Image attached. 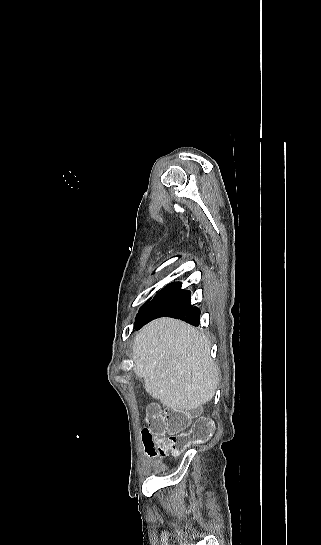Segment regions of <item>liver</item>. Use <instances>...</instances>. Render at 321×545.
I'll list each match as a JSON object with an SVG mask.
<instances>
[{
  "label": "liver",
  "mask_w": 321,
  "mask_h": 545,
  "mask_svg": "<svg viewBox=\"0 0 321 545\" xmlns=\"http://www.w3.org/2000/svg\"><path fill=\"white\" fill-rule=\"evenodd\" d=\"M134 373L165 407L185 413L211 401L218 383L210 341L176 319H156L143 327L133 347Z\"/></svg>",
  "instance_id": "6515ba94"
}]
</instances>
